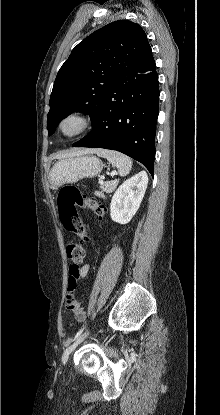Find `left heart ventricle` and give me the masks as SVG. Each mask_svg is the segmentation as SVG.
I'll list each match as a JSON object with an SVG mask.
<instances>
[{"mask_svg":"<svg viewBox=\"0 0 220 415\" xmlns=\"http://www.w3.org/2000/svg\"><path fill=\"white\" fill-rule=\"evenodd\" d=\"M74 128H75V125L73 123H69L65 126L64 130L69 133V132H72Z\"/></svg>","mask_w":220,"mask_h":415,"instance_id":"1","label":"left heart ventricle"}]
</instances>
